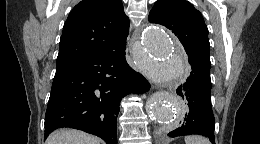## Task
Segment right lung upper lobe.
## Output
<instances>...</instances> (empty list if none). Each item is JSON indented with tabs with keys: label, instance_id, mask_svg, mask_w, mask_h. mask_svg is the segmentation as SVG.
I'll return each mask as SVG.
<instances>
[{
	"label": "right lung upper lobe",
	"instance_id": "1",
	"mask_svg": "<svg viewBox=\"0 0 260 144\" xmlns=\"http://www.w3.org/2000/svg\"><path fill=\"white\" fill-rule=\"evenodd\" d=\"M129 19L121 0H83L70 12L56 66L126 47Z\"/></svg>",
	"mask_w": 260,
	"mask_h": 144
}]
</instances>
